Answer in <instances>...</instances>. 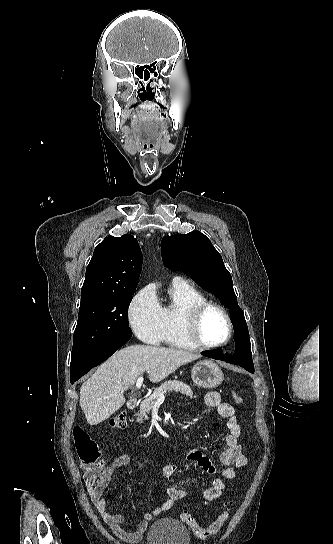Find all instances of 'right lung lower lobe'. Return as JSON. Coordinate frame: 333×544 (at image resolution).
<instances>
[{
	"instance_id": "obj_1",
	"label": "right lung lower lobe",
	"mask_w": 333,
	"mask_h": 544,
	"mask_svg": "<svg viewBox=\"0 0 333 544\" xmlns=\"http://www.w3.org/2000/svg\"><path fill=\"white\" fill-rule=\"evenodd\" d=\"M132 334H121L99 345L95 350L86 355L80 362L71 367V383L89 372L109 358L116 350L123 346L131 338Z\"/></svg>"
}]
</instances>
